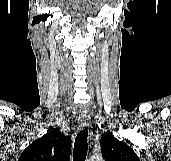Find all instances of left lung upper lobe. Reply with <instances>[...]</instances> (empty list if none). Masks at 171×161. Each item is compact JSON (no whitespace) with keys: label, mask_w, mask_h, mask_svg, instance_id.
I'll list each match as a JSON object with an SVG mask.
<instances>
[{"label":"left lung upper lobe","mask_w":171,"mask_h":161,"mask_svg":"<svg viewBox=\"0 0 171 161\" xmlns=\"http://www.w3.org/2000/svg\"><path fill=\"white\" fill-rule=\"evenodd\" d=\"M100 146L105 161H140L131 147L110 132L102 136Z\"/></svg>","instance_id":"5c2ea615"}]
</instances>
